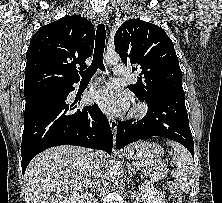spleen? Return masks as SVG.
<instances>
[{"mask_svg":"<svg viewBox=\"0 0 222 203\" xmlns=\"http://www.w3.org/2000/svg\"><path fill=\"white\" fill-rule=\"evenodd\" d=\"M168 143L174 150L172 162L176 165L171 175L175 179L176 184L183 191L188 192L195 178L192 156L181 144L172 141Z\"/></svg>","mask_w":222,"mask_h":203,"instance_id":"obj_1","label":"spleen"}]
</instances>
